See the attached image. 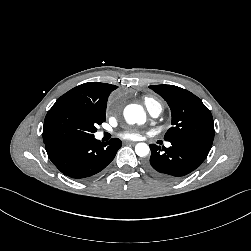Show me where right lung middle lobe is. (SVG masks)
I'll return each mask as SVG.
<instances>
[{
  "label": "right lung middle lobe",
  "instance_id": "1",
  "mask_svg": "<svg viewBox=\"0 0 251 251\" xmlns=\"http://www.w3.org/2000/svg\"><path fill=\"white\" fill-rule=\"evenodd\" d=\"M105 120V109L73 101L56 102L44 121V143L93 137L97 131L96 126Z\"/></svg>",
  "mask_w": 251,
  "mask_h": 251
}]
</instances>
